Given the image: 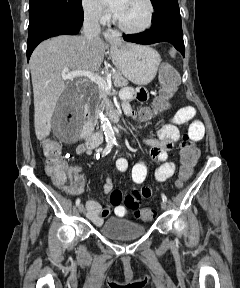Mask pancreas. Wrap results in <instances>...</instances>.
I'll use <instances>...</instances> for the list:
<instances>
[{
	"label": "pancreas",
	"mask_w": 240,
	"mask_h": 288,
	"mask_svg": "<svg viewBox=\"0 0 240 288\" xmlns=\"http://www.w3.org/2000/svg\"><path fill=\"white\" fill-rule=\"evenodd\" d=\"M108 74L111 75L113 82H114V85L116 87H123V86L128 85L127 79H125L119 71L112 70V71L106 72V75L103 77L105 80L107 79ZM88 86L90 87V91L98 93L99 102L102 106H109L110 105V101L108 98V95H109L108 91L102 89L101 87L94 84L93 82H90L88 84ZM87 105L90 106L89 101L87 102Z\"/></svg>",
	"instance_id": "1"
}]
</instances>
